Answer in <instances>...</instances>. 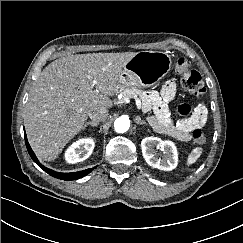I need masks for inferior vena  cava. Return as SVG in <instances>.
I'll use <instances>...</instances> for the list:
<instances>
[{
  "label": "inferior vena cava",
  "mask_w": 243,
  "mask_h": 243,
  "mask_svg": "<svg viewBox=\"0 0 243 243\" xmlns=\"http://www.w3.org/2000/svg\"><path fill=\"white\" fill-rule=\"evenodd\" d=\"M108 115H109L108 110L104 107L96 108L89 112L90 119H92L95 122H100V121L106 120Z\"/></svg>",
  "instance_id": "1"
}]
</instances>
